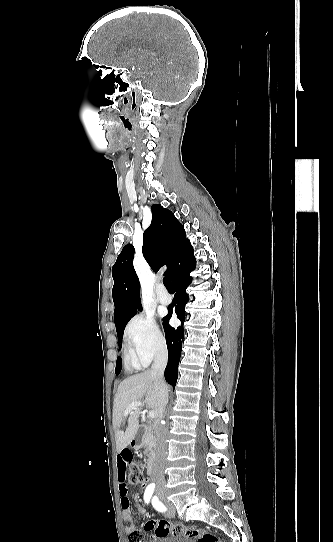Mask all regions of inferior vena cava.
Here are the masks:
<instances>
[{
	"instance_id": "1",
	"label": "inferior vena cava",
	"mask_w": 333,
	"mask_h": 542,
	"mask_svg": "<svg viewBox=\"0 0 333 542\" xmlns=\"http://www.w3.org/2000/svg\"><path fill=\"white\" fill-rule=\"evenodd\" d=\"M168 354L166 348H161L158 350L154 356V362L151 366V374L155 378L157 386V414L158 422L155 428L156 434V452L154 466L152 468L150 480L156 484V490L159 492L160 488H165V462L167 458V442H166V428L164 424H161L163 418V412L168 404V388L164 380V370L167 366Z\"/></svg>"
}]
</instances>
